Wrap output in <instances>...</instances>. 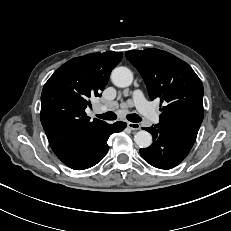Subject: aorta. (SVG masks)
Returning <instances> with one entry per match:
<instances>
[{"label":"aorta","mask_w":231,"mask_h":231,"mask_svg":"<svg viewBox=\"0 0 231 231\" xmlns=\"http://www.w3.org/2000/svg\"><path fill=\"white\" fill-rule=\"evenodd\" d=\"M113 84L120 88L132 84L133 73L127 67H116L111 73ZM134 141L140 148H147L152 144V136L145 130H140L134 135Z\"/></svg>","instance_id":"1"}]
</instances>
